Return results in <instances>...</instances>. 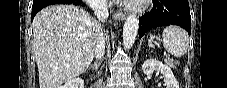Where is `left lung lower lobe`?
<instances>
[{"mask_svg": "<svg viewBox=\"0 0 227 88\" xmlns=\"http://www.w3.org/2000/svg\"><path fill=\"white\" fill-rule=\"evenodd\" d=\"M178 25L191 33V16L187 0H154V6L140 18L139 38L150 29Z\"/></svg>", "mask_w": 227, "mask_h": 88, "instance_id": "0a47b994", "label": "left lung lower lobe"}]
</instances>
